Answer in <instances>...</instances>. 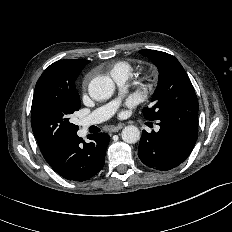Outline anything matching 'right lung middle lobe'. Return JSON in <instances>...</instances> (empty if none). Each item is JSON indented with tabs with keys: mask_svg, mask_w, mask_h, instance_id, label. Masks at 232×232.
Segmentation results:
<instances>
[{
	"mask_svg": "<svg viewBox=\"0 0 232 232\" xmlns=\"http://www.w3.org/2000/svg\"><path fill=\"white\" fill-rule=\"evenodd\" d=\"M88 62L65 69L45 70L36 83L31 126L40 150L52 151L77 134L79 127L70 122L80 109L75 80Z\"/></svg>",
	"mask_w": 232,
	"mask_h": 232,
	"instance_id": "right-lung-middle-lobe-1",
	"label": "right lung middle lobe"
}]
</instances>
